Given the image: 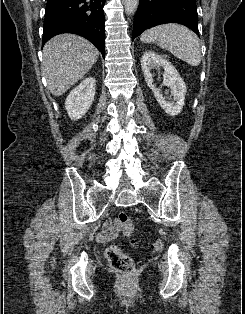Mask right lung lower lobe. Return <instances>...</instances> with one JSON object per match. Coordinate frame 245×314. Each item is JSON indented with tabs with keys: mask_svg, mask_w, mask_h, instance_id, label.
<instances>
[{
	"mask_svg": "<svg viewBox=\"0 0 245 314\" xmlns=\"http://www.w3.org/2000/svg\"><path fill=\"white\" fill-rule=\"evenodd\" d=\"M106 0H48L42 45L61 33H74L92 42L104 56L103 7Z\"/></svg>",
	"mask_w": 245,
	"mask_h": 314,
	"instance_id": "98d812e1",
	"label": "right lung lower lobe"
}]
</instances>
